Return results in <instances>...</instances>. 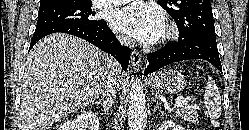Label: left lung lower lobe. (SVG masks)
I'll list each match as a JSON object with an SVG mask.
<instances>
[{
	"label": "left lung lower lobe",
	"instance_id": "1",
	"mask_svg": "<svg viewBox=\"0 0 249 130\" xmlns=\"http://www.w3.org/2000/svg\"><path fill=\"white\" fill-rule=\"evenodd\" d=\"M190 59H204L222 71L217 49L216 39L195 35L179 38L175 43H168L165 47L147 55V67L144 75L174 62Z\"/></svg>",
	"mask_w": 249,
	"mask_h": 130
}]
</instances>
